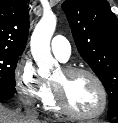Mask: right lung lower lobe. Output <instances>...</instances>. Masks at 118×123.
I'll return each instance as SVG.
<instances>
[{
	"instance_id": "98d812e1",
	"label": "right lung lower lobe",
	"mask_w": 118,
	"mask_h": 123,
	"mask_svg": "<svg viewBox=\"0 0 118 123\" xmlns=\"http://www.w3.org/2000/svg\"><path fill=\"white\" fill-rule=\"evenodd\" d=\"M15 92L0 91V100H7L14 96Z\"/></svg>"
}]
</instances>
